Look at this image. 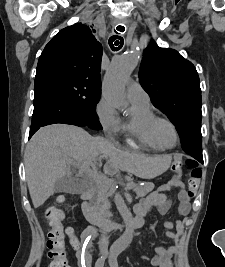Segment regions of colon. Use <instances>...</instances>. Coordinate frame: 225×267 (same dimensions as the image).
<instances>
[{"label":"colon","instance_id":"colon-1","mask_svg":"<svg viewBox=\"0 0 225 267\" xmlns=\"http://www.w3.org/2000/svg\"><path fill=\"white\" fill-rule=\"evenodd\" d=\"M184 165L191 168L188 180V195L193 197L200 185L202 171L195 161L185 160L180 155H176L172 164L173 171L180 173ZM46 215L51 225L47 240L48 256L51 259L50 267H70L66 249V235L69 236L71 244L74 247H78L80 244L75 235V228L67 227L64 229L60 221V214L54 207H49Z\"/></svg>","mask_w":225,"mask_h":267}]
</instances>
